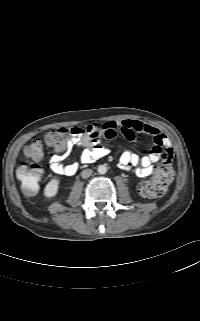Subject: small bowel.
<instances>
[{"mask_svg": "<svg viewBox=\"0 0 200 321\" xmlns=\"http://www.w3.org/2000/svg\"><path fill=\"white\" fill-rule=\"evenodd\" d=\"M65 150L54 149L55 154L49 160L50 169L57 174L71 176L78 170L77 163L63 164V157L69 147L80 145L84 147L81 160L90 163L107 154L101 147V138H112L120 132L128 140H136L137 134L145 135L151 142L149 154L140 156L132 151L124 152L119 159L120 166L125 170H134L138 177H148L156 170V164L164 159L168 152L173 155L169 138L159 129L138 120L108 121L92 123L85 129L72 128ZM94 133H100L99 138H94Z\"/></svg>", "mask_w": 200, "mask_h": 321, "instance_id": "c3829d8e", "label": "small bowel"}]
</instances>
